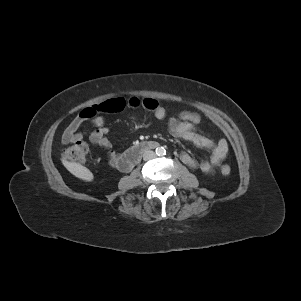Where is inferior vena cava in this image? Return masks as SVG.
<instances>
[{"label":"inferior vena cava","instance_id":"inferior-vena-cava-1","mask_svg":"<svg viewBox=\"0 0 301 301\" xmlns=\"http://www.w3.org/2000/svg\"><path fill=\"white\" fill-rule=\"evenodd\" d=\"M156 157V154L154 151H151V150H147L144 152L143 154V160L145 161H149V160H152Z\"/></svg>","mask_w":301,"mask_h":301}]
</instances>
